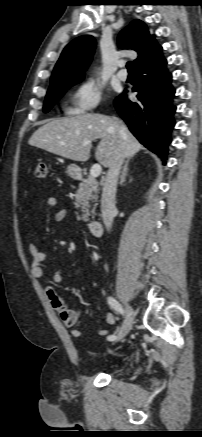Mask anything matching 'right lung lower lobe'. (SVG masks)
<instances>
[{"instance_id": "1", "label": "right lung lower lobe", "mask_w": 202, "mask_h": 437, "mask_svg": "<svg viewBox=\"0 0 202 437\" xmlns=\"http://www.w3.org/2000/svg\"><path fill=\"white\" fill-rule=\"evenodd\" d=\"M166 64L161 54L153 61L136 67V86L132 90L138 92V101L132 102L126 95L114 100L117 112L130 131L162 160L167 159L176 111L172 74Z\"/></svg>"}]
</instances>
